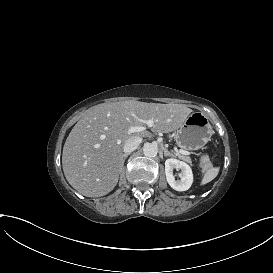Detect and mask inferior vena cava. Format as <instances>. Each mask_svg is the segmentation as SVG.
<instances>
[{
	"instance_id": "602c4592",
	"label": "inferior vena cava",
	"mask_w": 273,
	"mask_h": 273,
	"mask_svg": "<svg viewBox=\"0 0 273 273\" xmlns=\"http://www.w3.org/2000/svg\"><path fill=\"white\" fill-rule=\"evenodd\" d=\"M141 142H142V138L139 136H133L129 138L123 147L124 152L125 153L133 152L134 150L137 149V147L140 145Z\"/></svg>"
}]
</instances>
